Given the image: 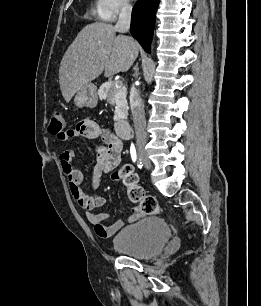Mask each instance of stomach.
<instances>
[{"instance_id": "stomach-1", "label": "stomach", "mask_w": 261, "mask_h": 306, "mask_svg": "<svg viewBox=\"0 0 261 306\" xmlns=\"http://www.w3.org/2000/svg\"><path fill=\"white\" fill-rule=\"evenodd\" d=\"M98 103L96 86L92 83L83 85L74 97V104L77 107L94 108Z\"/></svg>"}]
</instances>
